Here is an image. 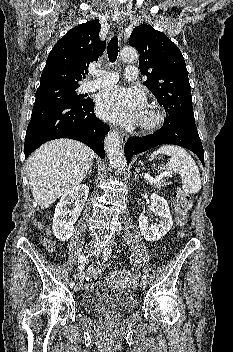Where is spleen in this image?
Listing matches in <instances>:
<instances>
[{"label":"spleen","mask_w":233,"mask_h":352,"mask_svg":"<svg viewBox=\"0 0 233 352\" xmlns=\"http://www.w3.org/2000/svg\"><path fill=\"white\" fill-rule=\"evenodd\" d=\"M159 153L171 156L166 167L180 174L182 188L186 193L194 194L200 191L201 179L198 167L185 149L176 145H163L153 152L149 160L152 161Z\"/></svg>","instance_id":"3e777b00"}]
</instances>
